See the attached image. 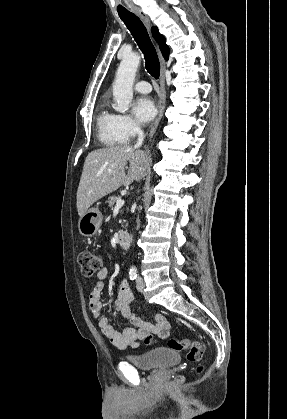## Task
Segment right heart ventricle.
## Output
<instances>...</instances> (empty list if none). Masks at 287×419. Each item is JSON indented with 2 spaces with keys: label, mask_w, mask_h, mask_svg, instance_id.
Masks as SVG:
<instances>
[{
  "label": "right heart ventricle",
  "mask_w": 287,
  "mask_h": 419,
  "mask_svg": "<svg viewBox=\"0 0 287 419\" xmlns=\"http://www.w3.org/2000/svg\"><path fill=\"white\" fill-rule=\"evenodd\" d=\"M96 124L98 138L103 145L113 147L126 142L118 130L117 115L108 109L105 102L100 107Z\"/></svg>",
  "instance_id": "obj_1"
}]
</instances>
